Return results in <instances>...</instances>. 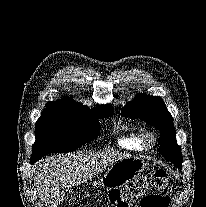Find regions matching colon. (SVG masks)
<instances>
[{
    "instance_id": "colon-1",
    "label": "colon",
    "mask_w": 206,
    "mask_h": 207,
    "mask_svg": "<svg viewBox=\"0 0 206 207\" xmlns=\"http://www.w3.org/2000/svg\"><path fill=\"white\" fill-rule=\"evenodd\" d=\"M171 183L164 169L138 176L124 191L115 190L109 194L116 207H128L140 200L141 207H167Z\"/></svg>"
}]
</instances>
